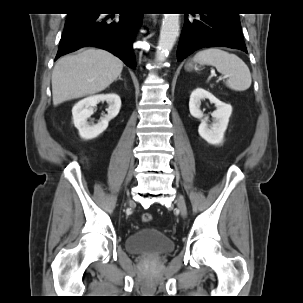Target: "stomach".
I'll return each instance as SVG.
<instances>
[{
	"label": "stomach",
	"mask_w": 303,
	"mask_h": 303,
	"mask_svg": "<svg viewBox=\"0 0 303 303\" xmlns=\"http://www.w3.org/2000/svg\"><path fill=\"white\" fill-rule=\"evenodd\" d=\"M198 64L194 60H188L185 64V69L187 71H192V70H197L198 69Z\"/></svg>",
	"instance_id": "stomach-1"
}]
</instances>
